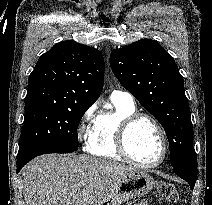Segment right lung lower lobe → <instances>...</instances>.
I'll use <instances>...</instances> for the list:
<instances>
[{
    "mask_svg": "<svg viewBox=\"0 0 212 205\" xmlns=\"http://www.w3.org/2000/svg\"><path fill=\"white\" fill-rule=\"evenodd\" d=\"M75 150L63 147H54V146H42L31 149L21 155H17V173L21 170V168L28 163L31 159L48 153H71Z\"/></svg>",
    "mask_w": 212,
    "mask_h": 205,
    "instance_id": "98d812e1",
    "label": "right lung lower lobe"
}]
</instances>
